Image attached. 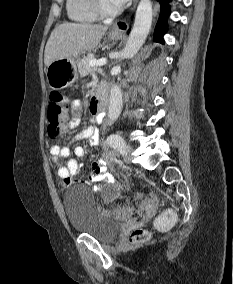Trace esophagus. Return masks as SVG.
I'll return each instance as SVG.
<instances>
[{"mask_svg":"<svg viewBox=\"0 0 233 284\" xmlns=\"http://www.w3.org/2000/svg\"><path fill=\"white\" fill-rule=\"evenodd\" d=\"M127 30H128V22L126 18L117 21L112 27V31L117 33H125Z\"/></svg>","mask_w":233,"mask_h":284,"instance_id":"34e87169","label":"esophagus"}]
</instances>
